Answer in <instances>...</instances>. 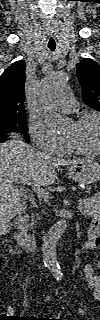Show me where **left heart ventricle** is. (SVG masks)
Listing matches in <instances>:
<instances>
[{"label":"left heart ventricle","instance_id":"obj_1","mask_svg":"<svg viewBox=\"0 0 100 320\" xmlns=\"http://www.w3.org/2000/svg\"><path fill=\"white\" fill-rule=\"evenodd\" d=\"M64 137L73 140L84 149L94 150L99 143V125L95 120H88L80 125L71 123Z\"/></svg>","mask_w":100,"mask_h":320}]
</instances>
